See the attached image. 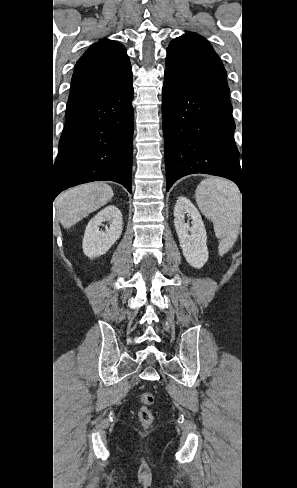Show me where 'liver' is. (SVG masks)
<instances>
[{
    "label": "liver",
    "mask_w": 297,
    "mask_h": 488,
    "mask_svg": "<svg viewBox=\"0 0 297 488\" xmlns=\"http://www.w3.org/2000/svg\"><path fill=\"white\" fill-rule=\"evenodd\" d=\"M113 197L111 186L102 182L80 185L63 192L55 200L56 213L64 228L74 224L107 204Z\"/></svg>",
    "instance_id": "obj_1"
}]
</instances>
